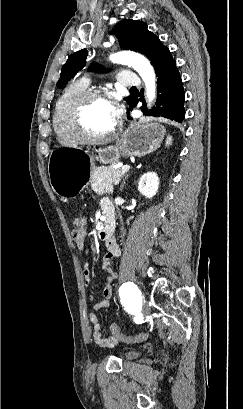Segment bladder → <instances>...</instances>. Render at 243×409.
Wrapping results in <instances>:
<instances>
[{"label":"bladder","instance_id":"31cf9c89","mask_svg":"<svg viewBox=\"0 0 243 409\" xmlns=\"http://www.w3.org/2000/svg\"><path fill=\"white\" fill-rule=\"evenodd\" d=\"M140 354L141 352L139 350H127L124 354V358L131 360L137 358Z\"/></svg>","mask_w":243,"mask_h":409}]
</instances>
